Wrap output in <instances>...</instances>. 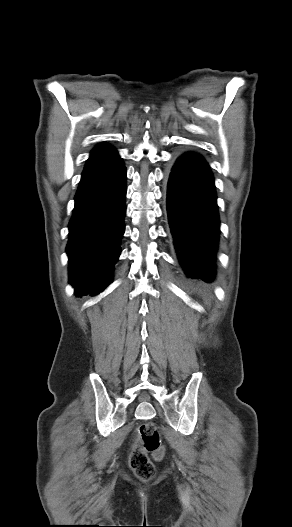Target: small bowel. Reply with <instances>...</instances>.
<instances>
[{"label":"small bowel","mask_w":292,"mask_h":527,"mask_svg":"<svg viewBox=\"0 0 292 527\" xmlns=\"http://www.w3.org/2000/svg\"><path fill=\"white\" fill-rule=\"evenodd\" d=\"M161 453H162V451H161V450H159V451H157V453H156V454H158V455H159V454H161ZM156 461H159V458H156Z\"/></svg>","instance_id":"small-bowel-1"}]
</instances>
